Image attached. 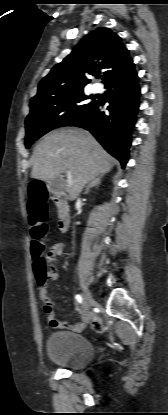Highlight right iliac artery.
Masks as SVG:
<instances>
[{
    "label": "right iliac artery",
    "instance_id": "right-iliac-artery-1",
    "mask_svg": "<svg viewBox=\"0 0 168 415\" xmlns=\"http://www.w3.org/2000/svg\"><path fill=\"white\" fill-rule=\"evenodd\" d=\"M76 300H77L80 304H82L83 299H82V296H81V295L77 294V295H76Z\"/></svg>",
    "mask_w": 168,
    "mask_h": 415
}]
</instances>
